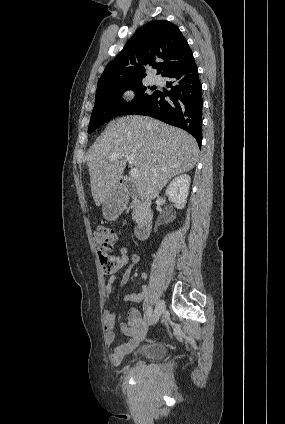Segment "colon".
Wrapping results in <instances>:
<instances>
[{
	"label": "colon",
	"mask_w": 285,
	"mask_h": 424,
	"mask_svg": "<svg viewBox=\"0 0 285 424\" xmlns=\"http://www.w3.org/2000/svg\"><path fill=\"white\" fill-rule=\"evenodd\" d=\"M116 240V231L113 228L95 227L93 231V244L99 255L104 271L113 274L119 268V261L112 254V248Z\"/></svg>",
	"instance_id": "5ec220e1"
}]
</instances>
